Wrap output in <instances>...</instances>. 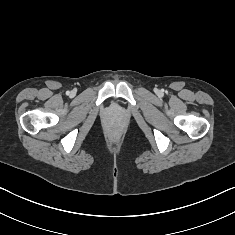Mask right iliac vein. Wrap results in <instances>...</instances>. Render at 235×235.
<instances>
[{"label": "right iliac vein", "mask_w": 235, "mask_h": 235, "mask_svg": "<svg viewBox=\"0 0 235 235\" xmlns=\"http://www.w3.org/2000/svg\"><path fill=\"white\" fill-rule=\"evenodd\" d=\"M74 94H75V92H74V91H72V92H71V95H74Z\"/></svg>", "instance_id": "1"}]
</instances>
